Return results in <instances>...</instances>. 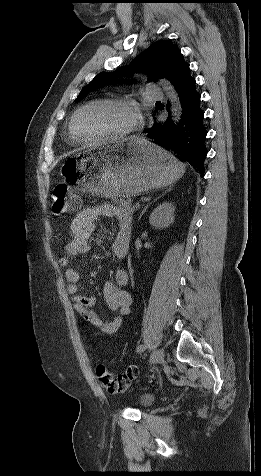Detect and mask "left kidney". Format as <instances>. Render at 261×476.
<instances>
[{"instance_id": "5707ae66", "label": "left kidney", "mask_w": 261, "mask_h": 476, "mask_svg": "<svg viewBox=\"0 0 261 476\" xmlns=\"http://www.w3.org/2000/svg\"><path fill=\"white\" fill-rule=\"evenodd\" d=\"M175 206L170 202L158 205L150 214L149 223L156 228H165L174 222Z\"/></svg>"}]
</instances>
